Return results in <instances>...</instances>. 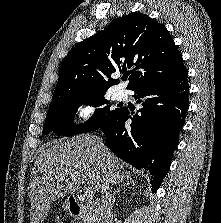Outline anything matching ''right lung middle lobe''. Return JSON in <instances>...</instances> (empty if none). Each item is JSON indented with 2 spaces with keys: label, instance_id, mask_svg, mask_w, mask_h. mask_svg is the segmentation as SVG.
Listing matches in <instances>:
<instances>
[{
  "label": "right lung middle lobe",
  "instance_id": "right-lung-middle-lobe-1",
  "mask_svg": "<svg viewBox=\"0 0 221 223\" xmlns=\"http://www.w3.org/2000/svg\"><path fill=\"white\" fill-rule=\"evenodd\" d=\"M103 93L79 94L51 102L42 135L54 132L58 135L73 136L96 130L112 119L121 108H111ZM82 104L99 107L93 116L83 124L74 125L72 120Z\"/></svg>",
  "mask_w": 221,
  "mask_h": 223
}]
</instances>
